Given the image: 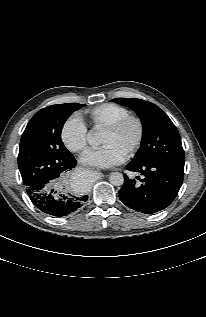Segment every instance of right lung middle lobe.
<instances>
[{"label":"right lung middle lobe","instance_id":"obj_1","mask_svg":"<svg viewBox=\"0 0 206 317\" xmlns=\"http://www.w3.org/2000/svg\"><path fill=\"white\" fill-rule=\"evenodd\" d=\"M83 106L75 103L52 105L32 117L20 141L18 166L23 180L54 173L61 162L70 161L73 155L61 140V130L68 117ZM69 171L61 174L55 183L66 185Z\"/></svg>","mask_w":206,"mask_h":317}]
</instances>
